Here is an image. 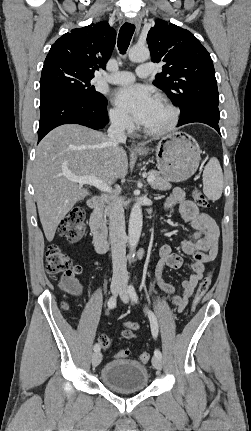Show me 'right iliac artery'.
<instances>
[{"label":"right iliac artery","mask_w":251,"mask_h":431,"mask_svg":"<svg viewBox=\"0 0 251 431\" xmlns=\"http://www.w3.org/2000/svg\"><path fill=\"white\" fill-rule=\"evenodd\" d=\"M108 307H109V309H113V308L116 307V297L115 296H112L109 299V301H108ZM93 349H94L95 352H97V351L100 350V346L98 344H95Z\"/></svg>","instance_id":"1"}]
</instances>
